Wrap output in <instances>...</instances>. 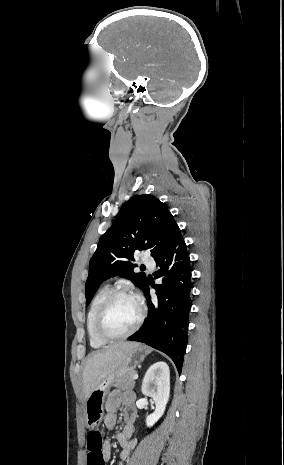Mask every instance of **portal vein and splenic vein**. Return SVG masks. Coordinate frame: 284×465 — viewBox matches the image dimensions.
<instances>
[{"label": "portal vein and splenic vein", "mask_w": 284, "mask_h": 465, "mask_svg": "<svg viewBox=\"0 0 284 465\" xmlns=\"http://www.w3.org/2000/svg\"><path fill=\"white\" fill-rule=\"evenodd\" d=\"M133 379H138V375H134Z\"/></svg>", "instance_id": "obj_1"}]
</instances>
